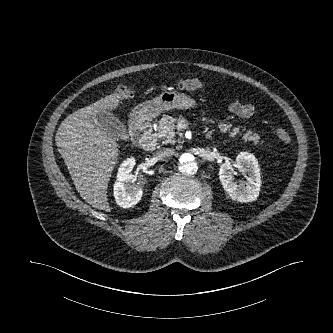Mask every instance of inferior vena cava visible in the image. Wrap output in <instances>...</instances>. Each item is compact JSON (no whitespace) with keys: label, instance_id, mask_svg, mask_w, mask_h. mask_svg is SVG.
I'll return each mask as SVG.
<instances>
[{"label":"inferior vena cava","instance_id":"obj_1","mask_svg":"<svg viewBox=\"0 0 333 333\" xmlns=\"http://www.w3.org/2000/svg\"><path fill=\"white\" fill-rule=\"evenodd\" d=\"M175 154V150L171 148H164L160 149L155 153V156L160 160V161H167L170 159L173 155Z\"/></svg>","mask_w":333,"mask_h":333}]
</instances>
